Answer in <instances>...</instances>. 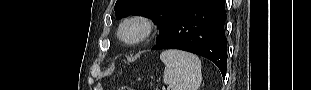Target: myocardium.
<instances>
[{"label":"myocardium","instance_id":"f54148a6","mask_svg":"<svg viewBox=\"0 0 311 90\" xmlns=\"http://www.w3.org/2000/svg\"><path fill=\"white\" fill-rule=\"evenodd\" d=\"M155 30L154 21L143 15L125 18L119 24L117 36L125 45H137L148 40Z\"/></svg>","mask_w":311,"mask_h":90}]
</instances>
